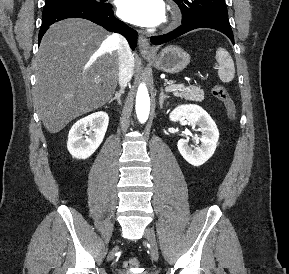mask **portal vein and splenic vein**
I'll return each mask as SVG.
<instances>
[{
    "label": "portal vein and splenic vein",
    "instance_id": "obj_1",
    "mask_svg": "<svg viewBox=\"0 0 289 274\" xmlns=\"http://www.w3.org/2000/svg\"><path fill=\"white\" fill-rule=\"evenodd\" d=\"M165 90H166V91H174V90H176V88H175V87H172V86H167V87L165 88Z\"/></svg>",
    "mask_w": 289,
    "mask_h": 274
}]
</instances>
